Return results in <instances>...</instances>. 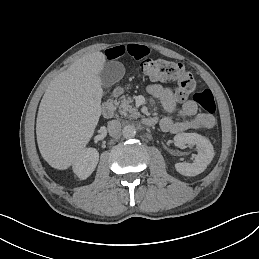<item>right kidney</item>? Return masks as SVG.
<instances>
[{"instance_id":"right-kidney-1","label":"right kidney","mask_w":259,"mask_h":259,"mask_svg":"<svg viewBox=\"0 0 259 259\" xmlns=\"http://www.w3.org/2000/svg\"><path fill=\"white\" fill-rule=\"evenodd\" d=\"M99 160L98 152L89 148L77 158L74 163V171L78 177L85 179L89 177L96 168Z\"/></svg>"}]
</instances>
